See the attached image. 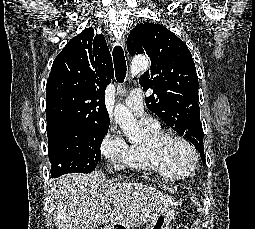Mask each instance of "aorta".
<instances>
[{"instance_id":"aorta-1","label":"aorta","mask_w":255,"mask_h":229,"mask_svg":"<svg viewBox=\"0 0 255 229\" xmlns=\"http://www.w3.org/2000/svg\"><path fill=\"white\" fill-rule=\"evenodd\" d=\"M149 66L145 57H136L131 64V76L134 77L140 72L147 70ZM116 122L131 142H138L143 137V129L136 121L132 113L123 105L117 104L114 110Z\"/></svg>"}]
</instances>
